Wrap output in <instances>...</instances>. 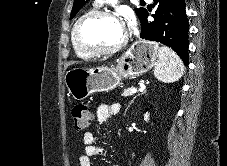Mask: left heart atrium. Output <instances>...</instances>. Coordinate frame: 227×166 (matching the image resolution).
Segmentation results:
<instances>
[{"mask_svg":"<svg viewBox=\"0 0 227 166\" xmlns=\"http://www.w3.org/2000/svg\"><path fill=\"white\" fill-rule=\"evenodd\" d=\"M133 22H134V20H133V19H131V20H130L131 25L133 24Z\"/></svg>","mask_w":227,"mask_h":166,"instance_id":"left-heart-atrium-1","label":"left heart atrium"}]
</instances>
